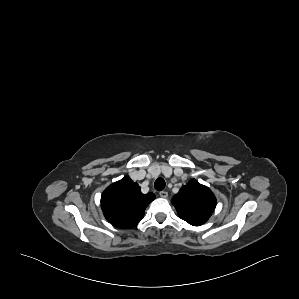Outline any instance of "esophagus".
I'll use <instances>...</instances> for the list:
<instances>
[{"mask_svg":"<svg viewBox=\"0 0 299 299\" xmlns=\"http://www.w3.org/2000/svg\"><path fill=\"white\" fill-rule=\"evenodd\" d=\"M159 195H160V197H162V198H167V197H168V193H167L166 191H161V192L159 193Z\"/></svg>","mask_w":299,"mask_h":299,"instance_id":"esophagus-1","label":"esophagus"}]
</instances>
